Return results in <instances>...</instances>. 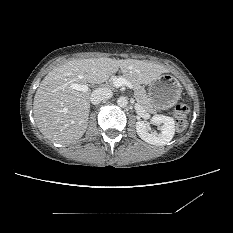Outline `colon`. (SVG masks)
Masks as SVG:
<instances>
[{"mask_svg": "<svg viewBox=\"0 0 233 233\" xmlns=\"http://www.w3.org/2000/svg\"><path fill=\"white\" fill-rule=\"evenodd\" d=\"M189 106L187 104L179 103L174 109L175 125L178 131H183L188 124L187 116L189 114Z\"/></svg>", "mask_w": 233, "mask_h": 233, "instance_id": "obj_1", "label": "colon"}]
</instances>
